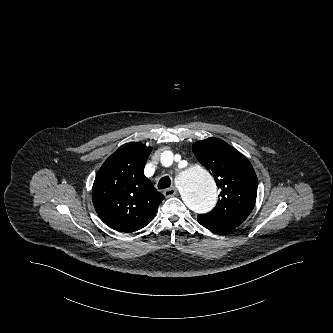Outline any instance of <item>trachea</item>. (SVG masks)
<instances>
[{
	"label": "trachea",
	"mask_w": 333,
	"mask_h": 333,
	"mask_svg": "<svg viewBox=\"0 0 333 333\" xmlns=\"http://www.w3.org/2000/svg\"><path fill=\"white\" fill-rule=\"evenodd\" d=\"M171 184V180L168 176L162 177L158 182V188L159 189H165L168 188Z\"/></svg>",
	"instance_id": "3493384b"
}]
</instances>
